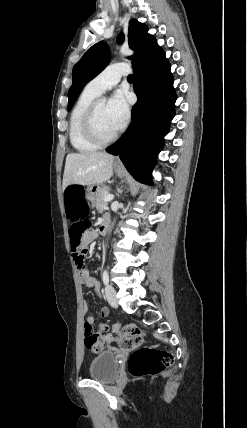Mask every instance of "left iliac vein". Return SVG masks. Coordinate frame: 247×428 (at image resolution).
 Instances as JSON below:
<instances>
[{"instance_id": "left-iliac-vein-1", "label": "left iliac vein", "mask_w": 247, "mask_h": 428, "mask_svg": "<svg viewBox=\"0 0 247 428\" xmlns=\"http://www.w3.org/2000/svg\"><path fill=\"white\" fill-rule=\"evenodd\" d=\"M105 295H106V299L109 302V304L112 307L117 308L118 307V300L116 298V291L111 285H106Z\"/></svg>"}]
</instances>
